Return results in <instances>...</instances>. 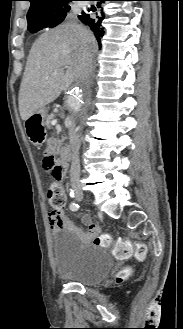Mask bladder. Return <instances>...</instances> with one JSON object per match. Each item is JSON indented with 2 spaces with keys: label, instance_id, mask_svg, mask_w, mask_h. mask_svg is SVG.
Masks as SVG:
<instances>
[{
  "label": "bladder",
  "instance_id": "1",
  "mask_svg": "<svg viewBox=\"0 0 183 329\" xmlns=\"http://www.w3.org/2000/svg\"><path fill=\"white\" fill-rule=\"evenodd\" d=\"M58 276L85 286L102 283L113 268L110 254L100 246L85 244L69 231L57 232L51 242Z\"/></svg>",
  "mask_w": 183,
  "mask_h": 329
}]
</instances>
